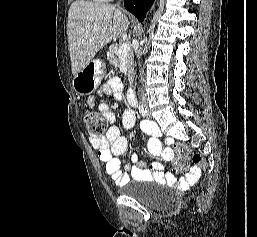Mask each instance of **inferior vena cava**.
Returning a JSON list of instances; mask_svg holds the SVG:
<instances>
[{"instance_id":"1","label":"inferior vena cava","mask_w":257,"mask_h":237,"mask_svg":"<svg viewBox=\"0 0 257 237\" xmlns=\"http://www.w3.org/2000/svg\"><path fill=\"white\" fill-rule=\"evenodd\" d=\"M136 53H137V57L139 58L140 57V52L136 51ZM142 74H143V72H141V81H143ZM146 100H147L146 95L142 93V102H145Z\"/></svg>"}]
</instances>
